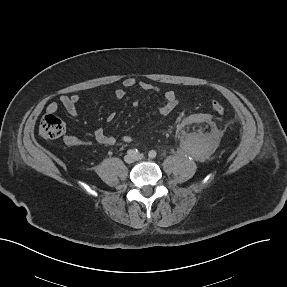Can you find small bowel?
<instances>
[{
  "label": "small bowel",
  "mask_w": 287,
  "mask_h": 287,
  "mask_svg": "<svg viewBox=\"0 0 287 287\" xmlns=\"http://www.w3.org/2000/svg\"><path fill=\"white\" fill-rule=\"evenodd\" d=\"M123 87L125 89H136L140 94L147 92H161V87L155 84H151L144 81H137L135 78L127 77L123 80ZM115 97L117 99H123L125 97V91L122 88L115 90ZM80 96L78 94L63 95L60 97L59 101H54L48 104L46 111L48 113H55L60 107H62L70 116H78L79 111L77 109V104L80 101ZM178 104V98L173 90H167L164 92V100L158 105L157 113L162 119L169 116V114L174 110ZM112 119V117H110ZM90 138L101 145H113L116 143V138L107 134L103 129H96L89 134ZM121 141L125 143H130L133 141V137L130 135H122ZM64 142L69 146H79L83 143L82 139L78 136L67 134L64 137Z\"/></svg>",
  "instance_id": "obj_1"
}]
</instances>
